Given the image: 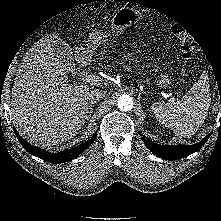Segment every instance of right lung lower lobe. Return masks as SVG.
Returning <instances> with one entry per match:
<instances>
[{
    "label": "right lung lower lobe",
    "mask_w": 221,
    "mask_h": 221,
    "mask_svg": "<svg viewBox=\"0 0 221 221\" xmlns=\"http://www.w3.org/2000/svg\"><path fill=\"white\" fill-rule=\"evenodd\" d=\"M14 131H15L16 137L18 138L21 145L26 149V151H28L31 155H34L38 158H41L53 164H60V163L76 158L82 152H84L93 143V141L96 138V133H94V135L91 137L90 140H88L87 142L77 147L67 149L59 153H50L44 149H41V148H38L36 146L29 144L18 134L15 128H14Z\"/></svg>",
    "instance_id": "98d812e1"
}]
</instances>
